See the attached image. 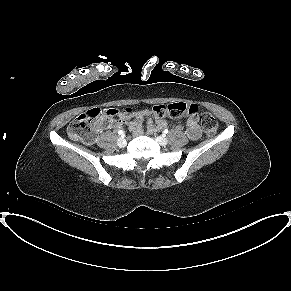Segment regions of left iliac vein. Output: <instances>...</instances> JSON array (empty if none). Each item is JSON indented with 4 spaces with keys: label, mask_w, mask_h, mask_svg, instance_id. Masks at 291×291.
<instances>
[{
    "label": "left iliac vein",
    "mask_w": 291,
    "mask_h": 291,
    "mask_svg": "<svg viewBox=\"0 0 291 291\" xmlns=\"http://www.w3.org/2000/svg\"><path fill=\"white\" fill-rule=\"evenodd\" d=\"M156 141L158 144H160L161 146H165L168 143L167 138L163 137V136H159L156 138Z\"/></svg>",
    "instance_id": "4c4485c4"
}]
</instances>
